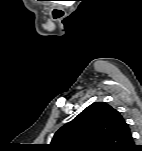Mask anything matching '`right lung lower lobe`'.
<instances>
[{"label": "right lung lower lobe", "mask_w": 142, "mask_h": 151, "mask_svg": "<svg viewBox=\"0 0 142 151\" xmlns=\"http://www.w3.org/2000/svg\"><path fill=\"white\" fill-rule=\"evenodd\" d=\"M134 148H131L130 151H134V150H140L142 151V146H133Z\"/></svg>", "instance_id": "1"}]
</instances>
